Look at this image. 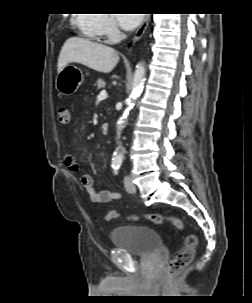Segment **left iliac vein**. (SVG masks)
Segmentation results:
<instances>
[{"instance_id":"obj_1","label":"left iliac vein","mask_w":252,"mask_h":303,"mask_svg":"<svg viewBox=\"0 0 252 303\" xmlns=\"http://www.w3.org/2000/svg\"><path fill=\"white\" fill-rule=\"evenodd\" d=\"M124 185L128 192H135V190H136L135 185L133 184V182L129 176H126L124 178Z\"/></svg>"}]
</instances>
